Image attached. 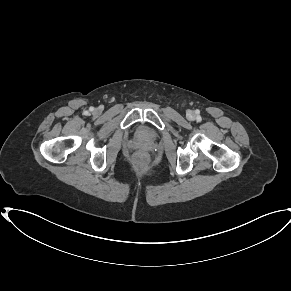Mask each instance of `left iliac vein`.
<instances>
[{
	"label": "left iliac vein",
	"mask_w": 291,
	"mask_h": 291,
	"mask_svg": "<svg viewBox=\"0 0 291 291\" xmlns=\"http://www.w3.org/2000/svg\"><path fill=\"white\" fill-rule=\"evenodd\" d=\"M188 116H189V118H194V113H193L192 111H190V112L188 113Z\"/></svg>",
	"instance_id": "4c4485c4"
}]
</instances>
